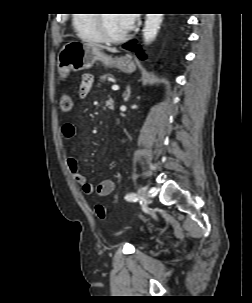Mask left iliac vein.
I'll use <instances>...</instances> for the list:
<instances>
[{
	"label": "left iliac vein",
	"instance_id": "4c4485c4",
	"mask_svg": "<svg viewBox=\"0 0 252 303\" xmlns=\"http://www.w3.org/2000/svg\"><path fill=\"white\" fill-rule=\"evenodd\" d=\"M138 195L144 204H146V205L150 204V198H149L147 189L139 188Z\"/></svg>",
	"mask_w": 252,
	"mask_h": 303
}]
</instances>
